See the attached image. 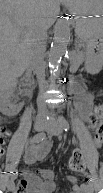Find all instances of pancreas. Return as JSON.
I'll list each match as a JSON object with an SVG mask.
<instances>
[{
  "instance_id": "cf45deb5",
  "label": "pancreas",
  "mask_w": 103,
  "mask_h": 193,
  "mask_svg": "<svg viewBox=\"0 0 103 193\" xmlns=\"http://www.w3.org/2000/svg\"><path fill=\"white\" fill-rule=\"evenodd\" d=\"M77 47L79 57H84V52L82 51L81 44H78Z\"/></svg>"
}]
</instances>
